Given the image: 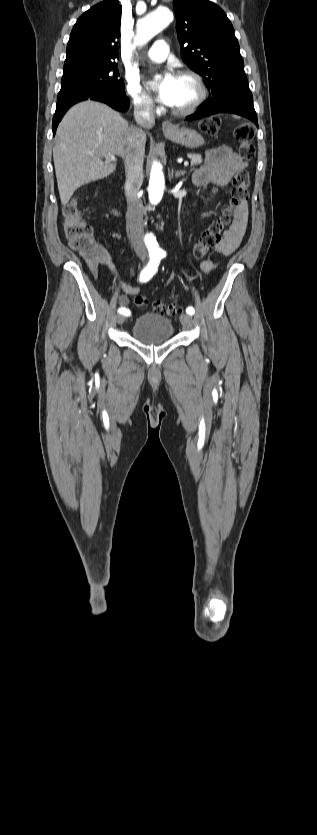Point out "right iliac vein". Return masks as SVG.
Masks as SVG:
<instances>
[{
  "label": "right iliac vein",
  "instance_id": "63e3f726",
  "mask_svg": "<svg viewBox=\"0 0 317 835\" xmlns=\"http://www.w3.org/2000/svg\"><path fill=\"white\" fill-rule=\"evenodd\" d=\"M124 320H125V316H124V315H122V314H118V315L116 316V321H117V323H118V324H122V323L124 322Z\"/></svg>",
  "mask_w": 317,
  "mask_h": 835
}]
</instances>
